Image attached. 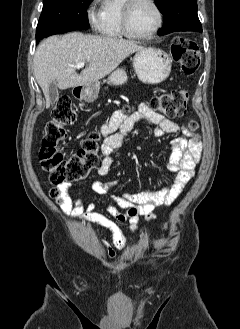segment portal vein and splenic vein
<instances>
[{"label": "portal vein and splenic vein", "instance_id": "18ae733b", "mask_svg": "<svg viewBox=\"0 0 240 329\" xmlns=\"http://www.w3.org/2000/svg\"><path fill=\"white\" fill-rule=\"evenodd\" d=\"M85 66L84 62L77 63L74 67L77 69L83 68Z\"/></svg>", "mask_w": 240, "mask_h": 329}]
</instances>
